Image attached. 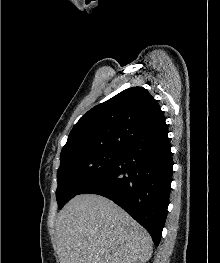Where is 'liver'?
Listing matches in <instances>:
<instances>
[{"instance_id": "obj_1", "label": "liver", "mask_w": 220, "mask_h": 263, "mask_svg": "<svg viewBox=\"0 0 220 263\" xmlns=\"http://www.w3.org/2000/svg\"><path fill=\"white\" fill-rule=\"evenodd\" d=\"M60 263L147 262L152 255L148 232L111 200L77 195L57 215Z\"/></svg>"}]
</instances>
